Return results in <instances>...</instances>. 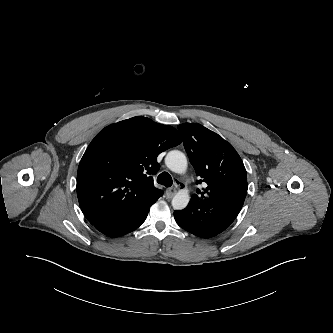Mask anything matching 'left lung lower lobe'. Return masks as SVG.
I'll return each mask as SVG.
<instances>
[{
  "instance_id": "left-lung-lower-lobe-1",
  "label": "left lung lower lobe",
  "mask_w": 333,
  "mask_h": 333,
  "mask_svg": "<svg viewBox=\"0 0 333 333\" xmlns=\"http://www.w3.org/2000/svg\"><path fill=\"white\" fill-rule=\"evenodd\" d=\"M241 191H225L200 199L192 197L187 207L174 212L184 230L210 238L224 231L236 218L245 200Z\"/></svg>"
}]
</instances>
